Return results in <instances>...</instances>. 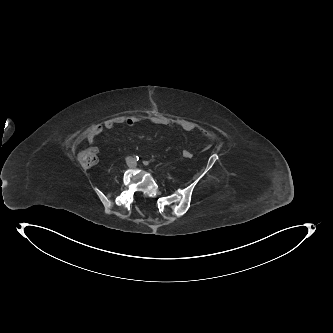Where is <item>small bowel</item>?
Listing matches in <instances>:
<instances>
[{"instance_id":"obj_1","label":"small bowel","mask_w":333,"mask_h":333,"mask_svg":"<svg viewBox=\"0 0 333 333\" xmlns=\"http://www.w3.org/2000/svg\"><path fill=\"white\" fill-rule=\"evenodd\" d=\"M151 121L157 125L161 126H171L173 122L166 118H152ZM139 123V118L137 117H128V118H114V119H108L104 121L102 124H98L91 128L88 133L86 134L85 138L89 143H94L96 138L104 131V130H110L114 126L118 124H126L130 127L135 126ZM179 127L187 132L192 131H198L207 141V145L205 148H208L211 143L213 142L212 135L207 132L204 128L201 126L187 120H180L177 122ZM96 152L97 149L93 148Z\"/></svg>"}]
</instances>
